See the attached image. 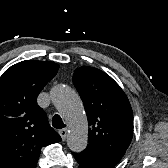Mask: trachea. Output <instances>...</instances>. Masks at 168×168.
<instances>
[{
    "label": "trachea",
    "instance_id": "trachea-1",
    "mask_svg": "<svg viewBox=\"0 0 168 168\" xmlns=\"http://www.w3.org/2000/svg\"><path fill=\"white\" fill-rule=\"evenodd\" d=\"M52 126L54 128L61 129L64 128L66 125L62 121V118L58 114H56L52 119Z\"/></svg>",
    "mask_w": 168,
    "mask_h": 168
}]
</instances>
